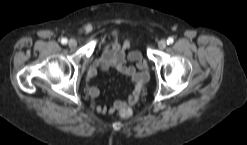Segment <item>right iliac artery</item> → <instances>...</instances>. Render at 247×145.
<instances>
[{
  "instance_id": "right-iliac-artery-1",
  "label": "right iliac artery",
  "mask_w": 247,
  "mask_h": 145,
  "mask_svg": "<svg viewBox=\"0 0 247 145\" xmlns=\"http://www.w3.org/2000/svg\"><path fill=\"white\" fill-rule=\"evenodd\" d=\"M61 43H62V44H67V39H66V38H63V39L61 40Z\"/></svg>"
}]
</instances>
